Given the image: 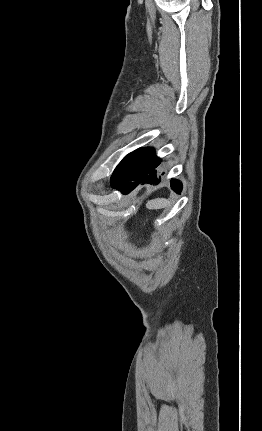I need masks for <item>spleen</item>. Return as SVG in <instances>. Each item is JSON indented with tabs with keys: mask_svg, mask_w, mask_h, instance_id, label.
I'll return each instance as SVG.
<instances>
[{
	"mask_svg": "<svg viewBox=\"0 0 262 431\" xmlns=\"http://www.w3.org/2000/svg\"><path fill=\"white\" fill-rule=\"evenodd\" d=\"M168 203L169 202L166 199L158 198V199L148 201L146 204V207L150 210L161 209V208L166 207L168 205Z\"/></svg>",
	"mask_w": 262,
	"mask_h": 431,
	"instance_id": "1",
	"label": "spleen"
}]
</instances>
